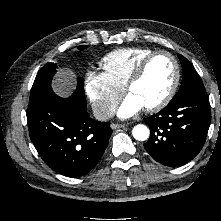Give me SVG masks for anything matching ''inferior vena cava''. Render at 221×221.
<instances>
[{
  "instance_id": "1",
  "label": "inferior vena cava",
  "mask_w": 221,
  "mask_h": 221,
  "mask_svg": "<svg viewBox=\"0 0 221 221\" xmlns=\"http://www.w3.org/2000/svg\"><path fill=\"white\" fill-rule=\"evenodd\" d=\"M92 109L94 117L99 121H106L113 115V111L104 104H96Z\"/></svg>"
}]
</instances>
